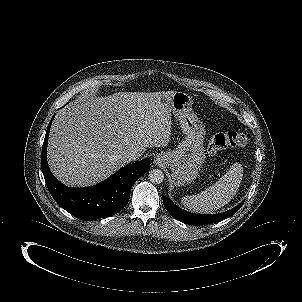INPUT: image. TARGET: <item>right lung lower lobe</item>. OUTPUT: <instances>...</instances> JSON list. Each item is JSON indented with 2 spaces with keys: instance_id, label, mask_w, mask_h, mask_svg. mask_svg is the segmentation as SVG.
<instances>
[{
  "instance_id": "obj_1",
  "label": "right lung lower lobe",
  "mask_w": 302,
  "mask_h": 302,
  "mask_svg": "<svg viewBox=\"0 0 302 302\" xmlns=\"http://www.w3.org/2000/svg\"><path fill=\"white\" fill-rule=\"evenodd\" d=\"M52 117L45 135L41 166L48 190L54 200L78 219L91 221L109 217L122 210L128 203L133 184L150 169V159L129 164L105 181L91 187L69 188L51 173L46 157L48 135Z\"/></svg>"
}]
</instances>
